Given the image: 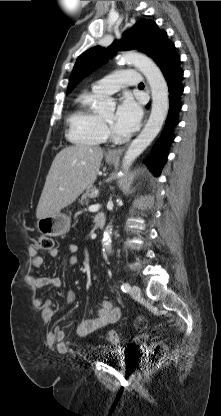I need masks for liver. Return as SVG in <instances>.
<instances>
[{
  "mask_svg": "<svg viewBox=\"0 0 221 416\" xmlns=\"http://www.w3.org/2000/svg\"><path fill=\"white\" fill-rule=\"evenodd\" d=\"M103 150L77 144L62 149L54 158L39 199L36 217L59 213L72 204L97 179Z\"/></svg>",
  "mask_w": 221,
  "mask_h": 416,
  "instance_id": "liver-1",
  "label": "liver"
}]
</instances>
